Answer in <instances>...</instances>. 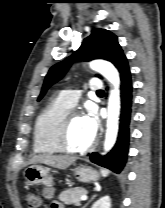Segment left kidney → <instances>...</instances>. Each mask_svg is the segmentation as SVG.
<instances>
[{"mask_svg":"<svg viewBox=\"0 0 165 208\" xmlns=\"http://www.w3.org/2000/svg\"><path fill=\"white\" fill-rule=\"evenodd\" d=\"M91 208H111V199L109 196H104L97 200Z\"/></svg>","mask_w":165,"mask_h":208,"instance_id":"1","label":"left kidney"}]
</instances>
